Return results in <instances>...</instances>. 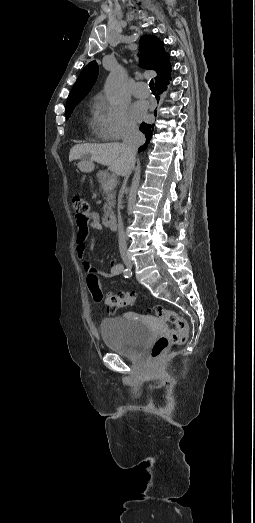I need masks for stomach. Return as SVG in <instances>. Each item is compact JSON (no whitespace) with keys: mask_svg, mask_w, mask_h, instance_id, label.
I'll list each match as a JSON object with an SVG mask.
<instances>
[{"mask_svg":"<svg viewBox=\"0 0 255 523\" xmlns=\"http://www.w3.org/2000/svg\"><path fill=\"white\" fill-rule=\"evenodd\" d=\"M79 168L82 172H92V170H94V164H92V162H83Z\"/></svg>","mask_w":255,"mask_h":523,"instance_id":"0dacf381","label":"stomach"}]
</instances>
